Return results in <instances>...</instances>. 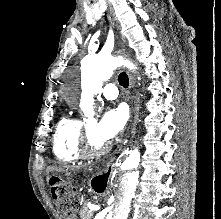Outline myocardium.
I'll return each instance as SVG.
<instances>
[{
    "label": "myocardium",
    "instance_id": "obj_1",
    "mask_svg": "<svg viewBox=\"0 0 221 219\" xmlns=\"http://www.w3.org/2000/svg\"><path fill=\"white\" fill-rule=\"evenodd\" d=\"M108 150V144L106 142H100L95 144L91 139L90 129L85 126L81 136V147L80 152L85 158H93L101 156Z\"/></svg>",
    "mask_w": 221,
    "mask_h": 219
}]
</instances>
